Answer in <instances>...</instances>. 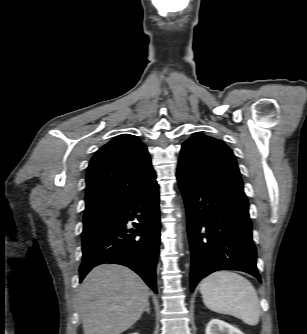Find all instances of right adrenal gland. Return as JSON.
I'll list each match as a JSON object with an SVG mask.
<instances>
[{
	"label": "right adrenal gland",
	"mask_w": 307,
	"mask_h": 334,
	"mask_svg": "<svg viewBox=\"0 0 307 334\" xmlns=\"http://www.w3.org/2000/svg\"><path fill=\"white\" fill-rule=\"evenodd\" d=\"M144 312H147L148 314H150V304L148 303Z\"/></svg>",
	"instance_id": "1"
}]
</instances>
